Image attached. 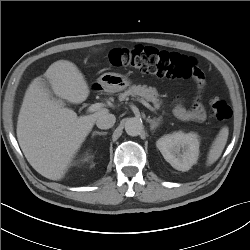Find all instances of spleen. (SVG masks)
Here are the masks:
<instances>
[{"mask_svg": "<svg viewBox=\"0 0 250 250\" xmlns=\"http://www.w3.org/2000/svg\"><path fill=\"white\" fill-rule=\"evenodd\" d=\"M228 135H229V129L227 126L223 127L219 131L218 135L214 139V141L209 149V152L207 155V161H206L207 166L212 165L221 156V154L224 150V147L227 143Z\"/></svg>", "mask_w": 250, "mask_h": 250, "instance_id": "obj_1", "label": "spleen"}]
</instances>
